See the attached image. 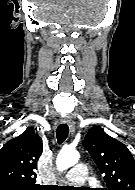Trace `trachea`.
I'll use <instances>...</instances> for the list:
<instances>
[{"instance_id": "1", "label": "trachea", "mask_w": 135, "mask_h": 190, "mask_svg": "<svg viewBox=\"0 0 135 190\" xmlns=\"http://www.w3.org/2000/svg\"><path fill=\"white\" fill-rule=\"evenodd\" d=\"M69 128L67 124H61L56 130L57 141L59 144L65 141L68 137Z\"/></svg>"}]
</instances>
